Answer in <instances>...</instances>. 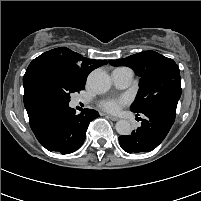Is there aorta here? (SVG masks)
Listing matches in <instances>:
<instances>
[{"instance_id": "aorta-1", "label": "aorta", "mask_w": 201, "mask_h": 201, "mask_svg": "<svg viewBox=\"0 0 201 201\" xmlns=\"http://www.w3.org/2000/svg\"><path fill=\"white\" fill-rule=\"evenodd\" d=\"M87 83L96 93H105L111 87V79L109 75L101 69H95L92 71L88 76ZM115 127L120 135H129L132 131V126L127 120H119Z\"/></svg>"}]
</instances>
